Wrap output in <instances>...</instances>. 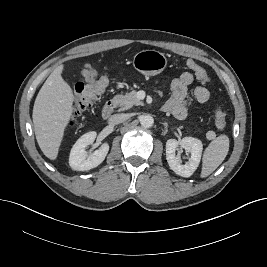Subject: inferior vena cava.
I'll return each mask as SVG.
<instances>
[{"label": "inferior vena cava", "instance_id": "inferior-vena-cava-1", "mask_svg": "<svg viewBox=\"0 0 267 267\" xmlns=\"http://www.w3.org/2000/svg\"><path fill=\"white\" fill-rule=\"evenodd\" d=\"M126 120H127L126 114H114L109 118L108 123L110 125H117V124H120Z\"/></svg>", "mask_w": 267, "mask_h": 267}]
</instances>
